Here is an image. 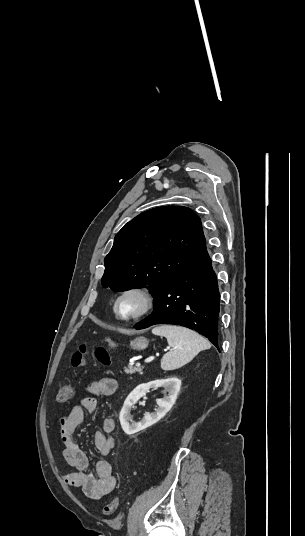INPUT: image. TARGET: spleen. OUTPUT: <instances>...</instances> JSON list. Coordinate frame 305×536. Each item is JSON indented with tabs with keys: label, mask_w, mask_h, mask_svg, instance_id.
<instances>
[{
	"label": "spleen",
	"mask_w": 305,
	"mask_h": 536,
	"mask_svg": "<svg viewBox=\"0 0 305 536\" xmlns=\"http://www.w3.org/2000/svg\"><path fill=\"white\" fill-rule=\"evenodd\" d=\"M152 334L164 336V338H167L170 348H174L172 352L164 354L161 360V368L165 372L182 368V366L191 362L201 350L211 348L208 340H205L196 332L188 330V328H181V326H157V328H153Z\"/></svg>",
	"instance_id": "1"
}]
</instances>
